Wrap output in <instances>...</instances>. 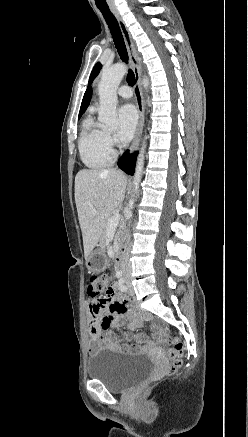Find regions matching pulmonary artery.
I'll return each instance as SVG.
<instances>
[{"mask_svg":"<svg viewBox=\"0 0 248 437\" xmlns=\"http://www.w3.org/2000/svg\"><path fill=\"white\" fill-rule=\"evenodd\" d=\"M117 94L122 98H131L132 97V90L127 85H122L119 87Z\"/></svg>","mask_w":248,"mask_h":437,"instance_id":"obj_1","label":"pulmonary artery"}]
</instances>
